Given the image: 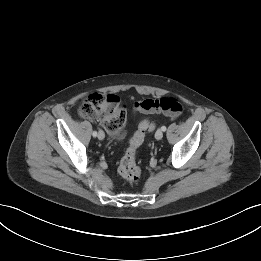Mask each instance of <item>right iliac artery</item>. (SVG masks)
Returning <instances> with one entry per match:
<instances>
[{"label": "right iliac artery", "mask_w": 261, "mask_h": 261, "mask_svg": "<svg viewBox=\"0 0 261 261\" xmlns=\"http://www.w3.org/2000/svg\"><path fill=\"white\" fill-rule=\"evenodd\" d=\"M92 135H93V137H96L97 136V132L93 131Z\"/></svg>", "instance_id": "obj_1"}]
</instances>
